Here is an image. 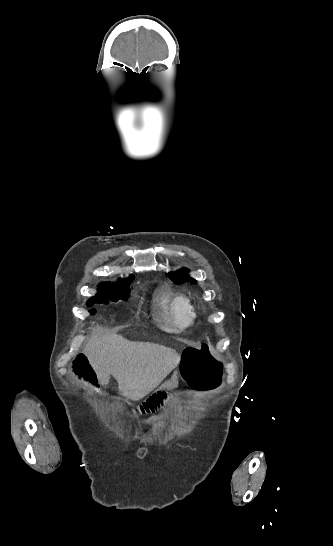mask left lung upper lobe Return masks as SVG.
Returning a JSON list of instances; mask_svg holds the SVG:
<instances>
[{"mask_svg":"<svg viewBox=\"0 0 333 546\" xmlns=\"http://www.w3.org/2000/svg\"><path fill=\"white\" fill-rule=\"evenodd\" d=\"M187 273L188 269L182 268L176 272L168 273V276L176 284H182L185 282H191V284L197 283V281L193 278H190Z\"/></svg>","mask_w":333,"mask_h":546,"instance_id":"1","label":"left lung upper lobe"}]
</instances>
